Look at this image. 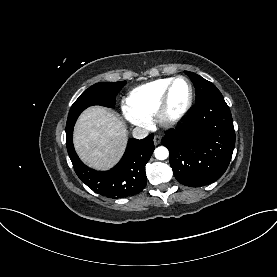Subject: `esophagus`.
<instances>
[{"label":"esophagus","instance_id":"34e87169","mask_svg":"<svg viewBox=\"0 0 277 277\" xmlns=\"http://www.w3.org/2000/svg\"><path fill=\"white\" fill-rule=\"evenodd\" d=\"M160 142H161V136L160 135H155L154 136V144L158 145V144H160Z\"/></svg>","mask_w":277,"mask_h":277}]
</instances>
